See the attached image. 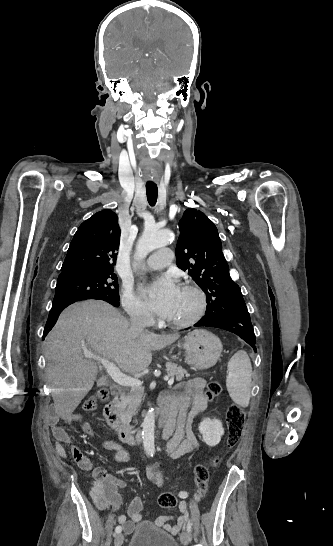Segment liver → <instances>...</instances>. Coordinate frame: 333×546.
Here are the masks:
<instances>
[{"instance_id": "liver-1", "label": "liver", "mask_w": 333, "mask_h": 546, "mask_svg": "<svg viewBox=\"0 0 333 546\" xmlns=\"http://www.w3.org/2000/svg\"><path fill=\"white\" fill-rule=\"evenodd\" d=\"M178 334L134 333L129 322L110 304L88 300L65 309L45 340L46 373L55 410L68 418L92 389L97 364L83 352L111 359L126 373H139L152 361V350L174 343ZM106 383V377L97 386Z\"/></svg>"}]
</instances>
